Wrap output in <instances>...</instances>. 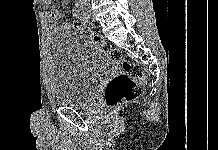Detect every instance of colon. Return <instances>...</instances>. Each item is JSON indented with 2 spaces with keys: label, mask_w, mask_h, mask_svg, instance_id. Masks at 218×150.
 Instances as JSON below:
<instances>
[{
  "label": "colon",
  "mask_w": 218,
  "mask_h": 150,
  "mask_svg": "<svg viewBox=\"0 0 218 150\" xmlns=\"http://www.w3.org/2000/svg\"><path fill=\"white\" fill-rule=\"evenodd\" d=\"M73 28L90 38L94 44L114 63L122 67V73L113 77L106 85L104 98L109 109L115 110L140 97L144 92L145 75L136 63L123 58L122 53L113 48L91 28L74 22Z\"/></svg>",
  "instance_id": "5ec220e1"
}]
</instances>
